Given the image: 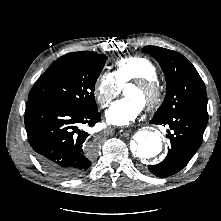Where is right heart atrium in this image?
<instances>
[{
  "mask_svg": "<svg viewBox=\"0 0 221 221\" xmlns=\"http://www.w3.org/2000/svg\"><path fill=\"white\" fill-rule=\"evenodd\" d=\"M121 91V85L112 73H101L94 85V96L101 107H106Z\"/></svg>",
  "mask_w": 221,
  "mask_h": 221,
  "instance_id": "d8ad5b80",
  "label": "right heart atrium"
}]
</instances>
